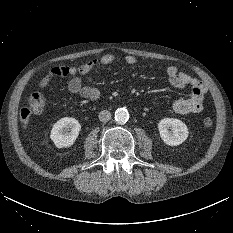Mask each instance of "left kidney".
<instances>
[{
  "instance_id": "5707ae66",
  "label": "left kidney",
  "mask_w": 233,
  "mask_h": 233,
  "mask_svg": "<svg viewBox=\"0 0 233 233\" xmlns=\"http://www.w3.org/2000/svg\"><path fill=\"white\" fill-rule=\"evenodd\" d=\"M158 130L161 139L170 146L182 144L189 135L186 124L175 118L161 119L158 123Z\"/></svg>"
}]
</instances>
